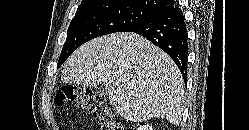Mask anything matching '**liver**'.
I'll return each instance as SVG.
<instances>
[{"label":"liver","mask_w":249,"mask_h":130,"mask_svg":"<svg viewBox=\"0 0 249 130\" xmlns=\"http://www.w3.org/2000/svg\"><path fill=\"white\" fill-rule=\"evenodd\" d=\"M66 84L104 85L125 119L181 122L184 81L173 60L146 38L130 32L105 35L80 46L65 62Z\"/></svg>","instance_id":"6515ba94"}]
</instances>
